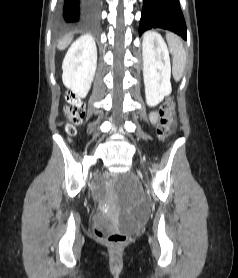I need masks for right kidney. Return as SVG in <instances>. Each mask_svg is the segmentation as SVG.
Instances as JSON below:
<instances>
[{"mask_svg":"<svg viewBox=\"0 0 238 278\" xmlns=\"http://www.w3.org/2000/svg\"><path fill=\"white\" fill-rule=\"evenodd\" d=\"M97 66V48L92 36L76 40L69 48L62 65L64 84L79 97H86Z\"/></svg>","mask_w":238,"mask_h":278,"instance_id":"obj_1","label":"right kidney"}]
</instances>
